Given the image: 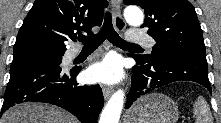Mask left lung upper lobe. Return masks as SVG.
Here are the masks:
<instances>
[{"label": "left lung upper lobe", "mask_w": 221, "mask_h": 123, "mask_svg": "<svg viewBox=\"0 0 221 123\" xmlns=\"http://www.w3.org/2000/svg\"><path fill=\"white\" fill-rule=\"evenodd\" d=\"M126 5H138L145 11L142 28L157 42L151 55L193 54L206 57L200 23L192 4L187 0H124Z\"/></svg>", "instance_id": "obj_1"}]
</instances>
